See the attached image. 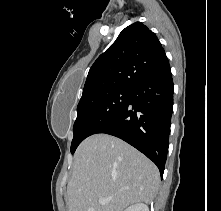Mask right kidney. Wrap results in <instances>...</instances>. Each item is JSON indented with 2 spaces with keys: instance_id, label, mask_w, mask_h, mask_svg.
<instances>
[{
  "instance_id": "right-kidney-1",
  "label": "right kidney",
  "mask_w": 221,
  "mask_h": 211,
  "mask_svg": "<svg viewBox=\"0 0 221 211\" xmlns=\"http://www.w3.org/2000/svg\"><path fill=\"white\" fill-rule=\"evenodd\" d=\"M124 211H149V208L146 204L138 203L128 207Z\"/></svg>"
}]
</instances>
